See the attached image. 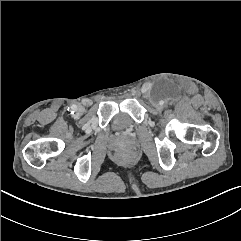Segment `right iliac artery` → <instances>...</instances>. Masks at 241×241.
Returning <instances> with one entry per match:
<instances>
[{"label": "right iliac artery", "instance_id": "obj_1", "mask_svg": "<svg viewBox=\"0 0 241 241\" xmlns=\"http://www.w3.org/2000/svg\"><path fill=\"white\" fill-rule=\"evenodd\" d=\"M76 110H77V106H76V105H72V106L70 107L71 113H74Z\"/></svg>", "mask_w": 241, "mask_h": 241}]
</instances>
